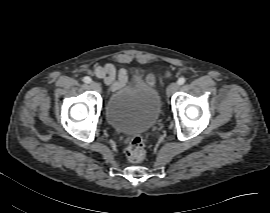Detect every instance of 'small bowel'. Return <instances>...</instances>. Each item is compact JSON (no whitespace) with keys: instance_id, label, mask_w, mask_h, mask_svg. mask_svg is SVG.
Listing matches in <instances>:
<instances>
[{"instance_id":"c3829d8e","label":"small bowel","mask_w":270,"mask_h":213,"mask_svg":"<svg viewBox=\"0 0 270 213\" xmlns=\"http://www.w3.org/2000/svg\"><path fill=\"white\" fill-rule=\"evenodd\" d=\"M93 74L113 90L123 86L127 80L125 70L117 69L116 66L111 63L97 64L93 69ZM145 82L149 87L153 86L155 82L154 75L151 73L146 75Z\"/></svg>"}]
</instances>
